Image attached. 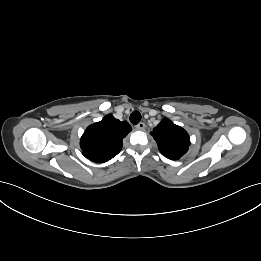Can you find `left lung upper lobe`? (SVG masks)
I'll return each mask as SVG.
<instances>
[{
  "instance_id": "5c2ea615",
  "label": "left lung upper lobe",
  "mask_w": 261,
  "mask_h": 261,
  "mask_svg": "<svg viewBox=\"0 0 261 261\" xmlns=\"http://www.w3.org/2000/svg\"><path fill=\"white\" fill-rule=\"evenodd\" d=\"M158 144L160 152L171 160H178L188 150V133L169 119H163L150 133Z\"/></svg>"
}]
</instances>
